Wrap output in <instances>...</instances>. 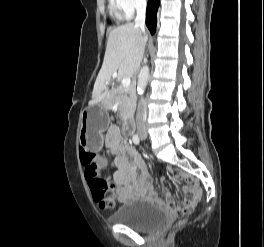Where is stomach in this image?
Returning a JSON list of instances; mask_svg holds the SVG:
<instances>
[{"instance_id":"0dacf381","label":"stomach","mask_w":264,"mask_h":247,"mask_svg":"<svg viewBox=\"0 0 264 247\" xmlns=\"http://www.w3.org/2000/svg\"><path fill=\"white\" fill-rule=\"evenodd\" d=\"M108 123L106 104L89 109L83 115L79 131V143L91 150L97 151L103 143L102 132Z\"/></svg>"}]
</instances>
